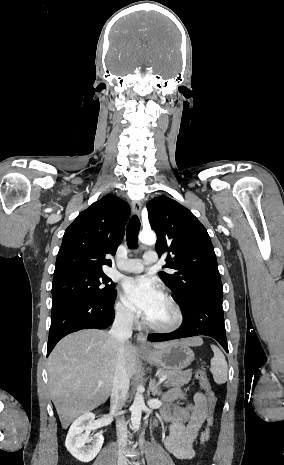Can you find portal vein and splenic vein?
<instances>
[{"mask_svg":"<svg viewBox=\"0 0 284 465\" xmlns=\"http://www.w3.org/2000/svg\"><path fill=\"white\" fill-rule=\"evenodd\" d=\"M165 379H167V375H163V377H161L159 383H163V381H165ZM99 383H103V381H99Z\"/></svg>","mask_w":284,"mask_h":465,"instance_id":"portal-vein-and-splenic-vein-1","label":"portal vein and splenic vein"}]
</instances>
